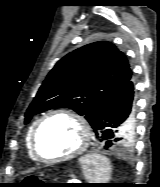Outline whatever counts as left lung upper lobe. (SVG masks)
<instances>
[{
  "label": "left lung upper lobe",
  "mask_w": 160,
  "mask_h": 187,
  "mask_svg": "<svg viewBox=\"0 0 160 187\" xmlns=\"http://www.w3.org/2000/svg\"><path fill=\"white\" fill-rule=\"evenodd\" d=\"M131 77L126 56L114 44L99 41L78 48L59 60L47 75L25 113V123L46 110L70 108L93 126L103 102ZM133 136L134 127L125 148Z\"/></svg>",
  "instance_id": "1"
}]
</instances>
